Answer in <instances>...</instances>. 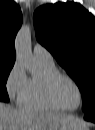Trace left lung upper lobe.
Masks as SVG:
<instances>
[{
  "instance_id": "1",
  "label": "left lung upper lobe",
  "mask_w": 95,
  "mask_h": 130,
  "mask_svg": "<svg viewBox=\"0 0 95 130\" xmlns=\"http://www.w3.org/2000/svg\"><path fill=\"white\" fill-rule=\"evenodd\" d=\"M36 37L76 82L84 112L95 110V18L78 3L39 7Z\"/></svg>"
}]
</instances>
